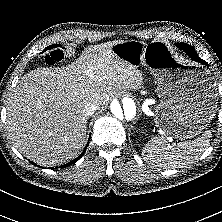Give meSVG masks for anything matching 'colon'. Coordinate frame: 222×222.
Wrapping results in <instances>:
<instances>
[{
	"label": "colon",
	"mask_w": 222,
	"mask_h": 222,
	"mask_svg": "<svg viewBox=\"0 0 222 222\" xmlns=\"http://www.w3.org/2000/svg\"><path fill=\"white\" fill-rule=\"evenodd\" d=\"M62 59L63 55L58 51H54L46 56L45 61L47 64L53 65L60 62Z\"/></svg>",
	"instance_id": "colon-1"
}]
</instances>
